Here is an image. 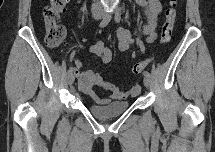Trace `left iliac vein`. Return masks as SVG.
<instances>
[{
	"label": "left iliac vein",
	"instance_id": "1",
	"mask_svg": "<svg viewBox=\"0 0 215 152\" xmlns=\"http://www.w3.org/2000/svg\"><path fill=\"white\" fill-rule=\"evenodd\" d=\"M109 14H105L104 16H108ZM144 85L146 87H149L150 83H151V78H150V75H147V76H144Z\"/></svg>",
	"mask_w": 215,
	"mask_h": 152
}]
</instances>
